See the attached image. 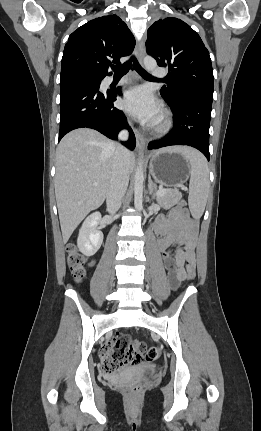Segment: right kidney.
I'll use <instances>...</instances> for the list:
<instances>
[{"label":"right kidney","mask_w":261,"mask_h":431,"mask_svg":"<svg viewBox=\"0 0 261 431\" xmlns=\"http://www.w3.org/2000/svg\"><path fill=\"white\" fill-rule=\"evenodd\" d=\"M101 220V214L95 212L83 222L77 239V246L84 255L92 256L100 248L103 242V233L97 230V225Z\"/></svg>","instance_id":"right-kidney-1"}]
</instances>
